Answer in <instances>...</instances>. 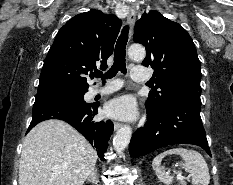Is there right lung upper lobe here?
Returning a JSON list of instances; mask_svg holds the SVG:
<instances>
[{"mask_svg": "<svg viewBox=\"0 0 233 185\" xmlns=\"http://www.w3.org/2000/svg\"><path fill=\"white\" fill-rule=\"evenodd\" d=\"M122 21L90 10L70 19L57 33L42 67L38 90L88 89L96 63L107 67Z\"/></svg>", "mask_w": 233, "mask_h": 185, "instance_id": "obj_1", "label": "right lung upper lobe"}]
</instances>
